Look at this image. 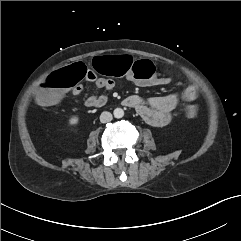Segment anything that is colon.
Masks as SVG:
<instances>
[{"label": "colon", "instance_id": "obj_1", "mask_svg": "<svg viewBox=\"0 0 241 241\" xmlns=\"http://www.w3.org/2000/svg\"><path fill=\"white\" fill-rule=\"evenodd\" d=\"M90 68L96 74H107L113 77L130 76L135 79H150L155 72V65L150 60L134 61L127 55H96L90 61ZM88 67L81 62H73L55 72L45 73L40 78L42 89L37 94V101L41 105L55 104L62 93L74 87L80 80L88 76ZM199 110L195 105H189L185 109V114L189 118L198 115Z\"/></svg>", "mask_w": 241, "mask_h": 241}]
</instances>
